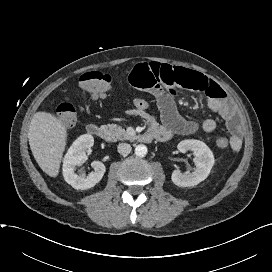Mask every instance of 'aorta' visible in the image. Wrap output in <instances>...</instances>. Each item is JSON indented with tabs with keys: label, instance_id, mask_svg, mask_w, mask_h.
Listing matches in <instances>:
<instances>
[{
	"label": "aorta",
	"instance_id": "1",
	"mask_svg": "<svg viewBox=\"0 0 272 272\" xmlns=\"http://www.w3.org/2000/svg\"><path fill=\"white\" fill-rule=\"evenodd\" d=\"M147 154V147L143 144H139L135 148V155L138 157H144Z\"/></svg>",
	"mask_w": 272,
	"mask_h": 272
}]
</instances>
